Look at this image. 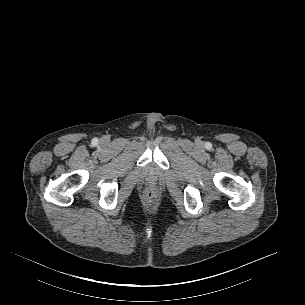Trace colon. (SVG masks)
Returning <instances> with one entry per match:
<instances>
[{
  "label": "colon",
  "instance_id": "5ec220e1",
  "mask_svg": "<svg viewBox=\"0 0 305 305\" xmlns=\"http://www.w3.org/2000/svg\"><path fill=\"white\" fill-rule=\"evenodd\" d=\"M156 194L154 191L152 190H149L147 193H146V197L148 200L152 201L154 198H155Z\"/></svg>",
  "mask_w": 305,
  "mask_h": 305
}]
</instances>
